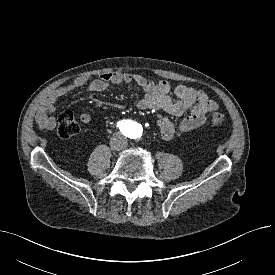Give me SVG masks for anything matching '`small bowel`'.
Here are the masks:
<instances>
[{
  "label": "small bowel",
  "instance_id": "small-bowel-1",
  "mask_svg": "<svg viewBox=\"0 0 275 275\" xmlns=\"http://www.w3.org/2000/svg\"><path fill=\"white\" fill-rule=\"evenodd\" d=\"M122 83L135 84L144 90V96L137 103L140 109H162L174 116H182L189 111V115L180 122L177 129L168 117H163L158 121L159 131L164 140H171L177 130L187 133L201 127L206 122L207 114L218 108V104L202 90L187 85H178L173 91L176 97L174 99L170 94L171 86L165 80L153 82L137 73L113 72L104 73L90 83L87 77L80 76L69 84L58 86L44 98L35 116L36 123L41 129H53L56 122L51 114L55 103L75 89L86 87L88 93H95L104 91L111 85ZM79 117L84 123L91 120V114L86 111H81Z\"/></svg>",
  "mask_w": 275,
  "mask_h": 275
}]
</instances>
